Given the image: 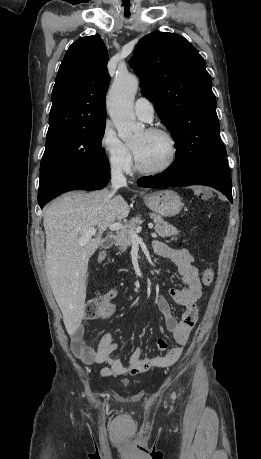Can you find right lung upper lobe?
I'll return each mask as SVG.
<instances>
[{
	"label": "right lung upper lobe",
	"instance_id": "cb5924a9",
	"mask_svg": "<svg viewBox=\"0 0 261 459\" xmlns=\"http://www.w3.org/2000/svg\"><path fill=\"white\" fill-rule=\"evenodd\" d=\"M107 61L106 47L98 35L83 37L69 47L53 87L47 134L106 121Z\"/></svg>",
	"mask_w": 261,
	"mask_h": 459
}]
</instances>
